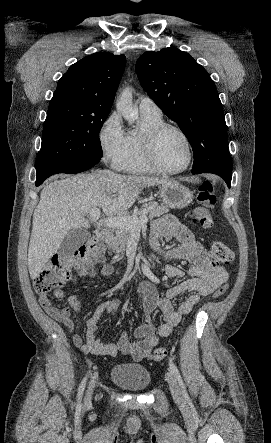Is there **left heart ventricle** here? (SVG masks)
<instances>
[{
  "label": "left heart ventricle",
  "instance_id": "b2bd125f",
  "mask_svg": "<svg viewBox=\"0 0 271 443\" xmlns=\"http://www.w3.org/2000/svg\"><path fill=\"white\" fill-rule=\"evenodd\" d=\"M158 156L168 168L184 166L189 157L188 147L183 137L174 130H167L158 142Z\"/></svg>",
  "mask_w": 271,
  "mask_h": 443
}]
</instances>
